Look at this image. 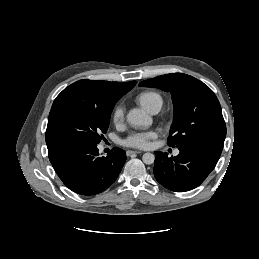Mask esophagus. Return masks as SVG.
I'll return each mask as SVG.
<instances>
[{
	"label": "esophagus",
	"instance_id": "1",
	"mask_svg": "<svg viewBox=\"0 0 259 259\" xmlns=\"http://www.w3.org/2000/svg\"><path fill=\"white\" fill-rule=\"evenodd\" d=\"M140 153L141 152H139V151H132V150L126 151L127 156H132V155H136V154H140Z\"/></svg>",
	"mask_w": 259,
	"mask_h": 259
}]
</instances>
